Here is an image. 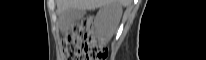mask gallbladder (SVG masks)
<instances>
[{
    "instance_id": "1",
    "label": "gallbladder",
    "mask_w": 206,
    "mask_h": 60,
    "mask_svg": "<svg viewBox=\"0 0 206 60\" xmlns=\"http://www.w3.org/2000/svg\"><path fill=\"white\" fill-rule=\"evenodd\" d=\"M85 14V10L69 8L59 16L61 27H69L73 22L79 21Z\"/></svg>"
}]
</instances>
